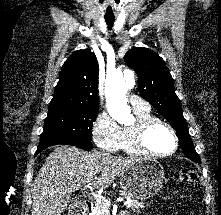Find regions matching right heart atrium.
Returning a JSON list of instances; mask_svg holds the SVG:
<instances>
[{
    "mask_svg": "<svg viewBox=\"0 0 221 215\" xmlns=\"http://www.w3.org/2000/svg\"><path fill=\"white\" fill-rule=\"evenodd\" d=\"M92 138L99 148L115 152L120 147L121 128L108 113L100 112L93 123Z\"/></svg>",
    "mask_w": 221,
    "mask_h": 215,
    "instance_id": "obj_1",
    "label": "right heart atrium"
}]
</instances>
